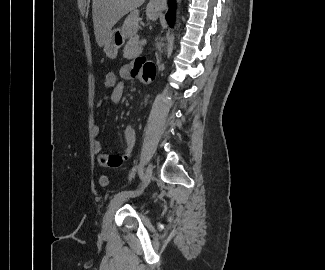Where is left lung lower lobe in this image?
<instances>
[{
    "label": "left lung lower lobe",
    "instance_id": "1",
    "mask_svg": "<svg viewBox=\"0 0 325 270\" xmlns=\"http://www.w3.org/2000/svg\"><path fill=\"white\" fill-rule=\"evenodd\" d=\"M174 10H175V8H174V0H171V2H170V10L168 11V13L165 16L166 20H167V22H168V24L170 26H172L173 21H174Z\"/></svg>",
    "mask_w": 325,
    "mask_h": 270
}]
</instances>
